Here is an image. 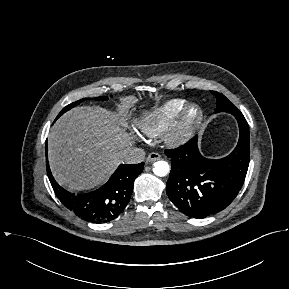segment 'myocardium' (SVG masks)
<instances>
[{
  "mask_svg": "<svg viewBox=\"0 0 289 289\" xmlns=\"http://www.w3.org/2000/svg\"><path fill=\"white\" fill-rule=\"evenodd\" d=\"M203 119L201 108L193 103L185 105L177 121L167 134L166 141L172 146H179L189 141Z\"/></svg>",
  "mask_w": 289,
  "mask_h": 289,
  "instance_id": "obj_1",
  "label": "myocardium"
}]
</instances>
